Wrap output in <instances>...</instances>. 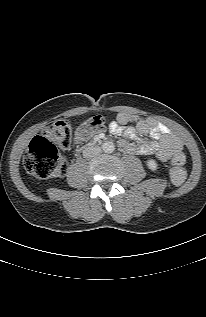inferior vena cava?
I'll return each mask as SVG.
<instances>
[{"label":"inferior vena cava","mask_w":206,"mask_h":317,"mask_svg":"<svg viewBox=\"0 0 206 317\" xmlns=\"http://www.w3.org/2000/svg\"><path fill=\"white\" fill-rule=\"evenodd\" d=\"M101 152V148L98 146H86L83 150V156L85 158H91L98 155Z\"/></svg>","instance_id":"1"}]
</instances>
